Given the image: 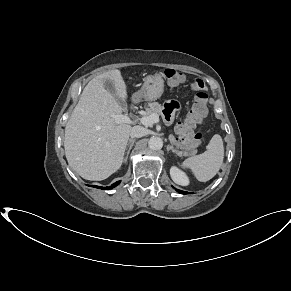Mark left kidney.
Segmentation results:
<instances>
[{"mask_svg": "<svg viewBox=\"0 0 291 291\" xmlns=\"http://www.w3.org/2000/svg\"><path fill=\"white\" fill-rule=\"evenodd\" d=\"M170 176L178 185L187 186L189 184V178L187 175L176 166L170 168Z\"/></svg>", "mask_w": 291, "mask_h": 291, "instance_id": "obj_1", "label": "left kidney"}]
</instances>
